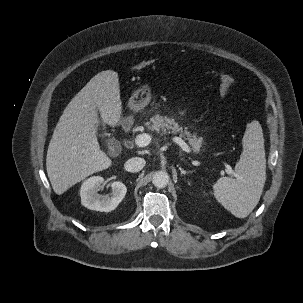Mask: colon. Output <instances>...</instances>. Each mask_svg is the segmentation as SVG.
I'll use <instances>...</instances> for the list:
<instances>
[{"label":"colon","mask_w":303,"mask_h":303,"mask_svg":"<svg viewBox=\"0 0 303 303\" xmlns=\"http://www.w3.org/2000/svg\"><path fill=\"white\" fill-rule=\"evenodd\" d=\"M153 64L152 60H147V61H142L138 64H136L133 69L134 70H142L145 69ZM213 73L217 76L218 81H219V90L220 94L223 97H226L229 95L231 90L234 87V79L227 73L225 72H220V71H213Z\"/></svg>","instance_id":"1"}]
</instances>
